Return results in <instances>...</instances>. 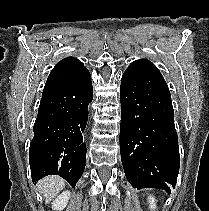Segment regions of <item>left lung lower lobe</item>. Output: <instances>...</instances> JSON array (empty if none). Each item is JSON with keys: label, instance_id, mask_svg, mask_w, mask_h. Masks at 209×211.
<instances>
[{"label": "left lung lower lobe", "instance_id": "0a47b994", "mask_svg": "<svg viewBox=\"0 0 209 211\" xmlns=\"http://www.w3.org/2000/svg\"><path fill=\"white\" fill-rule=\"evenodd\" d=\"M120 151L127 180L134 188L170 193L180 166L178 137L169 88L147 59L133 61L120 86Z\"/></svg>", "mask_w": 209, "mask_h": 211}]
</instances>
